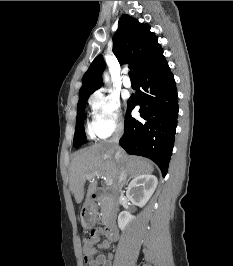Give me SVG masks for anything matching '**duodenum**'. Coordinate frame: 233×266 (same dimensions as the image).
Instances as JSON below:
<instances>
[{
    "label": "duodenum",
    "instance_id": "1",
    "mask_svg": "<svg viewBox=\"0 0 233 266\" xmlns=\"http://www.w3.org/2000/svg\"><path fill=\"white\" fill-rule=\"evenodd\" d=\"M91 199L97 201L99 199L106 200L108 203V221L104 228V233L110 241H115L119 237L117 226V202L110 192L97 190L92 193Z\"/></svg>",
    "mask_w": 233,
    "mask_h": 266
}]
</instances>
